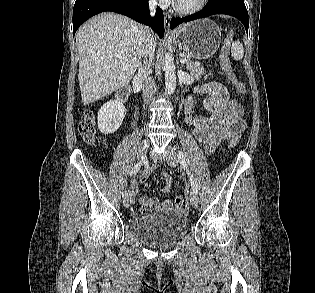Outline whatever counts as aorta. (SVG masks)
<instances>
[{
    "label": "aorta",
    "mask_w": 315,
    "mask_h": 293,
    "mask_svg": "<svg viewBox=\"0 0 315 293\" xmlns=\"http://www.w3.org/2000/svg\"><path fill=\"white\" fill-rule=\"evenodd\" d=\"M163 70L165 73V91L168 95H171L176 88V68L174 58L171 54H166Z\"/></svg>",
    "instance_id": "762f6f07"
}]
</instances>
